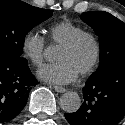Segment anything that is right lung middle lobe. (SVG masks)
Wrapping results in <instances>:
<instances>
[{
	"mask_svg": "<svg viewBox=\"0 0 125 125\" xmlns=\"http://www.w3.org/2000/svg\"><path fill=\"white\" fill-rule=\"evenodd\" d=\"M53 15L52 10L31 6L19 0H0V51L14 61H23L25 35Z\"/></svg>",
	"mask_w": 125,
	"mask_h": 125,
	"instance_id": "obj_1",
	"label": "right lung middle lobe"
}]
</instances>
